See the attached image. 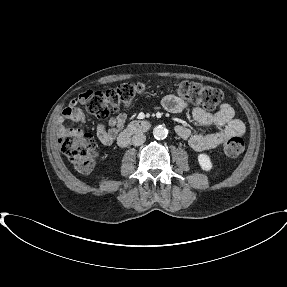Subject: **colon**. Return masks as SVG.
Returning <instances> with one entry per match:
<instances>
[{
	"label": "colon",
	"mask_w": 287,
	"mask_h": 287,
	"mask_svg": "<svg viewBox=\"0 0 287 287\" xmlns=\"http://www.w3.org/2000/svg\"><path fill=\"white\" fill-rule=\"evenodd\" d=\"M148 86L142 82L125 83L117 88L92 93L86 102L87 111L96 117H105L111 110L128 107L140 96L146 94ZM176 96L193 105L214 109L225 102L222 90L199 83L182 82L175 89ZM61 152L73 163L80 173H89L97 158V147L91 133L72 130L59 138ZM244 150L240 136L228 138L223 153L230 159L238 158Z\"/></svg>",
	"instance_id": "1"
}]
</instances>
